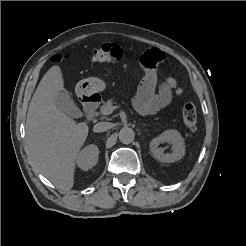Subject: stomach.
<instances>
[{
	"label": "stomach",
	"mask_w": 246,
	"mask_h": 246,
	"mask_svg": "<svg viewBox=\"0 0 246 246\" xmlns=\"http://www.w3.org/2000/svg\"><path fill=\"white\" fill-rule=\"evenodd\" d=\"M106 84L97 77H89L79 81L76 85V91L82 96H91L103 91Z\"/></svg>",
	"instance_id": "0dacf381"
}]
</instances>
